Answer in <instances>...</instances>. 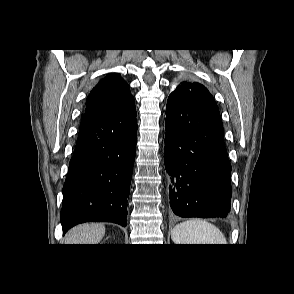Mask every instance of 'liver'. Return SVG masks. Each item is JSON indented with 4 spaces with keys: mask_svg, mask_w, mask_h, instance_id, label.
<instances>
[{
    "mask_svg": "<svg viewBox=\"0 0 294 294\" xmlns=\"http://www.w3.org/2000/svg\"><path fill=\"white\" fill-rule=\"evenodd\" d=\"M105 235V226L101 223L78 225L65 235L66 244H98Z\"/></svg>",
    "mask_w": 294,
    "mask_h": 294,
    "instance_id": "obj_1",
    "label": "liver"
}]
</instances>
